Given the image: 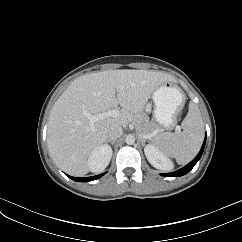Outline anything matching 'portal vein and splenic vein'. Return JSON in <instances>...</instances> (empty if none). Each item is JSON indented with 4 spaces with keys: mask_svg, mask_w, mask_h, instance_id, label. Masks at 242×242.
Returning <instances> with one entry per match:
<instances>
[{
    "mask_svg": "<svg viewBox=\"0 0 242 242\" xmlns=\"http://www.w3.org/2000/svg\"><path fill=\"white\" fill-rule=\"evenodd\" d=\"M84 115L89 119L90 124L93 125L94 122L108 118V117H119L120 116V111L117 109H112V110H108L106 112H102L96 115H92L86 111H84ZM176 130L180 131L181 127L180 126H176ZM144 138H150L152 137V135H143Z\"/></svg>",
    "mask_w": 242,
    "mask_h": 242,
    "instance_id": "18ae733b",
    "label": "portal vein and splenic vein"
}]
</instances>
